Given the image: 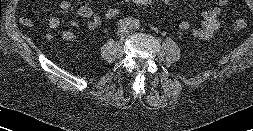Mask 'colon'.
I'll use <instances>...</instances> for the list:
<instances>
[{
    "label": "colon",
    "mask_w": 253,
    "mask_h": 131,
    "mask_svg": "<svg viewBox=\"0 0 253 131\" xmlns=\"http://www.w3.org/2000/svg\"><path fill=\"white\" fill-rule=\"evenodd\" d=\"M132 2L135 5L149 6L154 3L155 0H128L116 2L109 8H107L104 13V19L109 22H113L118 19L123 12L126 10L127 4L126 2ZM247 27V20L244 17L237 18L233 23V28L235 30H243Z\"/></svg>",
    "instance_id": "obj_1"
}]
</instances>
